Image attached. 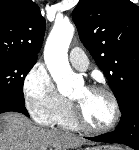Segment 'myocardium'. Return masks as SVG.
Listing matches in <instances>:
<instances>
[{
	"instance_id": "f54148a6",
	"label": "myocardium",
	"mask_w": 139,
	"mask_h": 150,
	"mask_svg": "<svg viewBox=\"0 0 139 150\" xmlns=\"http://www.w3.org/2000/svg\"><path fill=\"white\" fill-rule=\"evenodd\" d=\"M86 88L92 91L103 92L110 98L113 107V118L105 127H93L85 120L79 103L71 99L73 117L76 124L79 128L91 133L101 134L112 131L118 125L121 118V107L116 94L108 87L99 84L88 85Z\"/></svg>"
}]
</instances>
